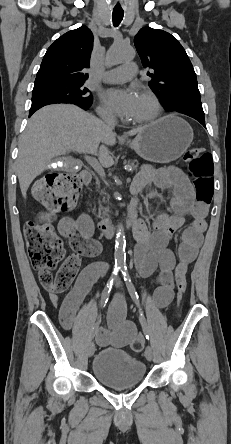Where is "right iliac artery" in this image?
<instances>
[{"label":"right iliac artery","mask_w":231,"mask_h":444,"mask_svg":"<svg viewBox=\"0 0 231 444\" xmlns=\"http://www.w3.org/2000/svg\"><path fill=\"white\" fill-rule=\"evenodd\" d=\"M119 269H120V267H116L114 269V271H113L109 281L107 282V284H106V286H105V288L103 290L102 297H101V305H103V307L108 302V299H109V296H110V292H111V289H112V285H113L114 280H115V278H116V276H117V274L119 272ZM100 322H101V318H99L97 320L96 324L93 326V328L91 330V333H90V341L94 338L95 330L99 326Z\"/></svg>","instance_id":"82829eb1"}]
</instances>
